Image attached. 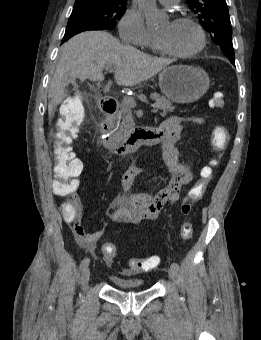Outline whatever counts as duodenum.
Listing matches in <instances>:
<instances>
[{
    "instance_id": "duodenum-1",
    "label": "duodenum",
    "mask_w": 261,
    "mask_h": 340,
    "mask_svg": "<svg viewBox=\"0 0 261 340\" xmlns=\"http://www.w3.org/2000/svg\"><path fill=\"white\" fill-rule=\"evenodd\" d=\"M118 103L114 99L104 98L100 101L103 119L99 125L101 141L104 147L116 155H129L142 145H155L161 141L158 127H142L132 131L127 136H118L113 132L114 115Z\"/></svg>"
}]
</instances>
